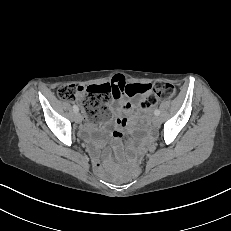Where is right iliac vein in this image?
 <instances>
[{
    "instance_id": "1",
    "label": "right iliac vein",
    "mask_w": 231,
    "mask_h": 231,
    "mask_svg": "<svg viewBox=\"0 0 231 231\" xmlns=\"http://www.w3.org/2000/svg\"><path fill=\"white\" fill-rule=\"evenodd\" d=\"M82 120H83L82 115H81L79 112H76V114H75V121H76L77 123H81Z\"/></svg>"
}]
</instances>
